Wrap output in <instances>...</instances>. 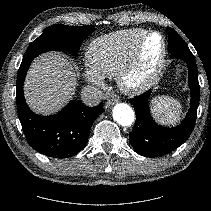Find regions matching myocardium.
Listing matches in <instances>:
<instances>
[{
  "label": "myocardium",
  "mask_w": 211,
  "mask_h": 211,
  "mask_svg": "<svg viewBox=\"0 0 211 211\" xmlns=\"http://www.w3.org/2000/svg\"><path fill=\"white\" fill-rule=\"evenodd\" d=\"M157 35L161 41V52L152 70L143 78L135 80V74L139 68L141 54L146 40ZM168 56L167 42L163 34L156 30L146 31L137 41L133 50L119 68L116 74V81L119 88L132 95H139L149 90L159 80L165 68Z\"/></svg>",
  "instance_id": "1"
}]
</instances>
